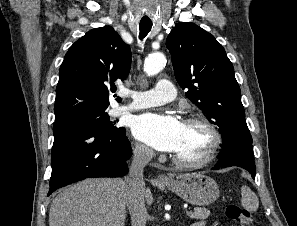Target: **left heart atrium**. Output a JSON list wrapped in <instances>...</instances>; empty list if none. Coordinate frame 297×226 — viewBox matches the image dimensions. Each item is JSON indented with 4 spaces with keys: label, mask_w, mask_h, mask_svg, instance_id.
Instances as JSON below:
<instances>
[{
    "label": "left heart atrium",
    "mask_w": 297,
    "mask_h": 226,
    "mask_svg": "<svg viewBox=\"0 0 297 226\" xmlns=\"http://www.w3.org/2000/svg\"><path fill=\"white\" fill-rule=\"evenodd\" d=\"M131 127L137 139L156 150L175 152L180 146L183 123L175 116L144 113L133 119Z\"/></svg>",
    "instance_id": "39dd6f15"
}]
</instances>
